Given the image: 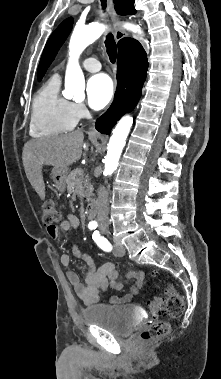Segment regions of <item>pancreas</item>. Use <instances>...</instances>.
Listing matches in <instances>:
<instances>
[{"label": "pancreas", "instance_id": "1", "mask_svg": "<svg viewBox=\"0 0 221 379\" xmlns=\"http://www.w3.org/2000/svg\"><path fill=\"white\" fill-rule=\"evenodd\" d=\"M66 183L67 190L69 192L86 197L88 201L93 195V187L91 184H88L86 191L84 190L83 170L81 168H77L70 172V174L67 176Z\"/></svg>", "mask_w": 221, "mask_h": 379}]
</instances>
